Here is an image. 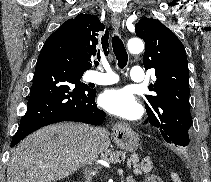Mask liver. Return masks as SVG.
Masks as SVG:
<instances>
[{
    "instance_id": "liver-1",
    "label": "liver",
    "mask_w": 211,
    "mask_h": 182,
    "mask_svg": "<svg viewBox=\"0 0 211 182\" xmlns=\"http://www.w3.org/2000/svg\"><path fill=\"white\" fill-rule=\"evenodd\" d=\"M96 129L92 153L98 157L110 145L103 128L77 123L44 127L21 141L11 152L7 182H56L86 164L91 130Z\"/></svg>"
}]
</instances>
